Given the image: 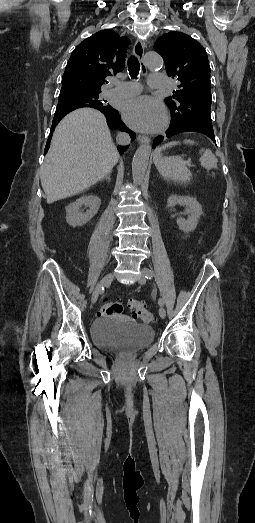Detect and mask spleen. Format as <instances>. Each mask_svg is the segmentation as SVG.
Wrapping results in <instances>:
<instances>
[{
  "label": "spleen",
  "instance_id": "spleen-1",
  "mask_svg": "<svg viewBox=\"0 0 255 523\" xmlns=\"http://www.w3.org/2000/svg\"><path fill=\"white\" fill-rule=\"evenodd\" d=\"M176 144H179V142H170V144H165V146H161V148H156L153 162L159 174H161L163 178H166V180H175V182H180V184H188L191 180L192 174L190 170L186 168L185 162L182 160L181 156L161 158L162 150L172 148V146H176ZM184 144H196V142H193V140H184ZM200 154H202V156L199 158V162H201V166H203L205 170L217 168V158L212 154L211 150H205V148H202Z\"/></svg>",
  "mask_w": 255,
  "mask_h": 523
}]
</instances>
